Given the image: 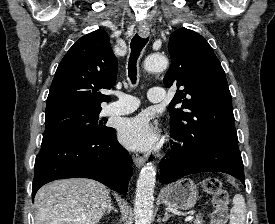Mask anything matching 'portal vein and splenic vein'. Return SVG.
I'll list each match as a JSON object with an SVG mask.
<instances>
[{
  "instance_id": "portal-vein-and-splenic-vein-1",
  "label": "portal vein and splenic vein",
  "mask_w": 275,
  "mask_h": 224,
  "mask_svg": "<svg viewBox=\"0 0 275 224\" xmlns=\"http://www.w3.org/2000/svg\"><path fill=\"white\" fill-rule=\"evenodd\" d=\"M193 218H194L193 215H189V216H187V217L185 218V221H186V222H189V221H191Z\"/></svg>"
}]
</instances>
